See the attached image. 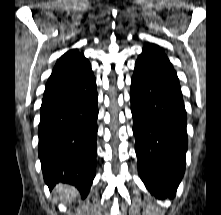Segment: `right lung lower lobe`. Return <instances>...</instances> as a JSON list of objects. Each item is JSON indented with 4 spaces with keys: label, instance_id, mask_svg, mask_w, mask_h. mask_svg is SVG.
<instances>
[{
    "label": "right lung lower lobe",
    "instance_id": "98d812e1",
    "mask_svg": "<svg viewBox=\"0 0 221 215\" xmlns=\"http://www.w3.org/2000/svg\"><path fill=\"white\" fill-rule=\"evenodd\" d=\"M97 97L92 70L44 92L38 150L50 190L68 183L87 196L96 172Z\"/></svg>",
    "mask_w": 221,
    "mask_h": 215
}]
</instances>
